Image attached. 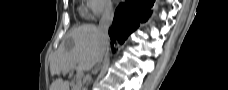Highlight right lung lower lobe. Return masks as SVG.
I'll list each match as a JSON object with an SVG mask.
<instances>
[{"label":"right lung lower lobe","mask_w":228,"mask_h":90,"mask_svg":"<svg viewBox=\"0 0 228 90\" xmlns=\"http://www.w3.org/2000/svg\"><path fill=\"white\" fill-rule=\"evenodd\" d=\"M154 0H125L115 11L113 25L109 29L111 45L123 44L130 33L149 17Z\"/></svg>","instance_id":"obj_1"}]
</instances>
